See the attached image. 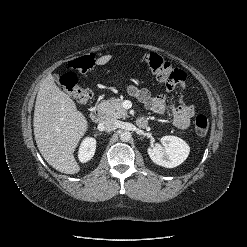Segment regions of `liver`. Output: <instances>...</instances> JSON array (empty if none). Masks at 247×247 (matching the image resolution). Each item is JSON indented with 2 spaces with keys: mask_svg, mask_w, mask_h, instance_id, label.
<instances>
[{
  "mask_svg": "<svg viewBox=\"0 0 247 247\" xmlns=\"http://www.w3.org/2000/svg\"><path fill=\"white\" fill-rule=\"evenodd\" d=\"M111 58V55L102 56L96 64L105 65ZM33 127L37 147L49 165L65 174L80 171L73 153L87 131L88 121L51 74L40 85Z\"/></svg>",
  "mask_w": 247,
  "mask_h": 247,
  "instance_id": "6515ba94",
  "label": "liver"
}]
</instances>
